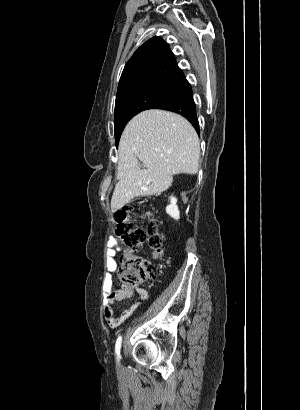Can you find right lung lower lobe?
Returning <instances> with one entry per match:
<instances>
[{
    "label": "right lung lower lobe",
    "mask_w": 300,
    "mask_h": 410,
    "mask_svg": "<svg viewBox=\"0 0 300 410\" xmlns=\"http://www.w3.org/2000/svg\"><path fill=\"white\" fill-rule=\"evenodd\" d=\"M159 109L169 110L184 116L199 132V123L196 114V105L193 100L191 86L188 87L172 102L160 107Z\"/></svg>",
    "instance_id": "98d812e1"
}]
</instances>
